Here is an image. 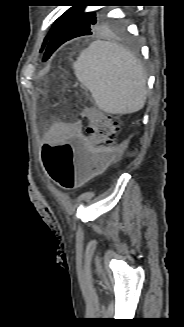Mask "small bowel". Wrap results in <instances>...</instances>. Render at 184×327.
<instances>
[{
    "instance_id": "c3829d8e",
    "label": "small bowel",
    "mask_w": 184,
    "mask_h": 327,
    "mask_svg": "<svg viewBox=\"0 0 184 327\" xmlns=\"http://www.w3.org/2000/svg\"><path fill=\"white\" fill-rule=\"evenodd\" d=\"M82 121H77L73 123L58 122L51 126L47 135V143H71L72 135H80L82 130L78 127L82 125ZM100 165L101 170L105 168L107 164H93Z\"/></svg>"
}]
</instances>
